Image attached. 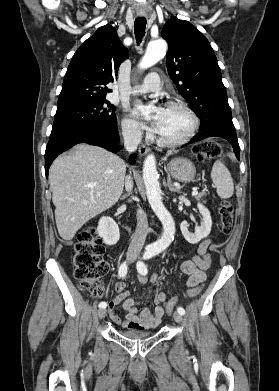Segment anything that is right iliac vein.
Instances as JSON below:
<instances>
[{
    "instance_id": "obj_1",
    "label": "right iliac vein",
    "mask_w": 279,
    "mask_h": 391,
    "mask_svg": "<svg viewBox=\"0 0 279 391\" xmlns=\"http://www.w3.org/2000/svg\"><path fill=\"white\" fill-rule=\"evenodd\" d=\"M129 260L132 261V258L130 257ZM105 315H106V310H105V309H100V310L98 311V317H99V319H102Z\"/></svg>"
}]
</instances>
